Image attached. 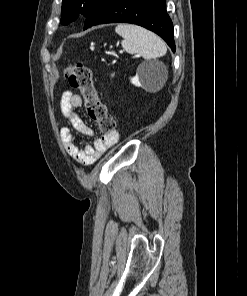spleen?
I'll return each instance as SVG.
<instances>
[{
  "label": "spleen",
  "mask_w": 247,
  "mask_h": 296,
  "mask_svg": "<svg viewBox=\"0 0 247 296\" xmlns=\"http://www.w3.org/2000/svg\"><path fill=\"white\" fill-rule=\"evenodd\" d=\"M115 31L123 37L121 45L127 53L138 54L147 60L166 54L164 41L147 29L132 24H119Z\"/></svg>",
  "instance_id": "obj_1"
}]
</instances>
